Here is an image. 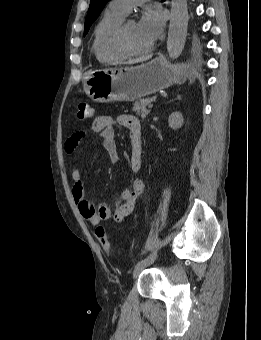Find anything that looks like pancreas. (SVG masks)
<instances>
[{
  "label": "pancreas",
  "instance_id": "cf45deb5",
  "mask_svg": "<svg viewBox=\"0 0 261 340\" xmlns=\"http://www.w3.org/2000/svg\"><path fill=\"white\" fill-rule=\"evenodd\" d=\"M151 101L149 98L135 101L133 111L141 118H145L150 113V110L146 109V106L149 105Z\"/></svg>",
  "mask_w": 261,
  "mask_h": 340
}]
</instances>
